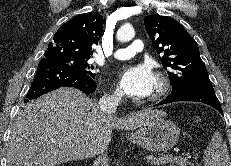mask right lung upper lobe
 Instances as JSON below:
<instances>
[{"label":"right lung upper lobe","instance_id":"obj_1","mask_svg":"<svg viewBox=\"0 0 231 166\" xmlns=\"http://www.w3.org/2000/svg\"><path fill=\"white\" fill-rule=\"evenodd\" d=\"M104 20L96 13L77 15L55 33L49 43L45 58L55 57L90 58L92 45L97 44L103 30Z\"/></svg>","mask_w":231,"mask_h":166}]
</instances>
